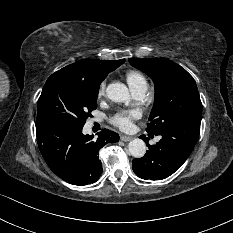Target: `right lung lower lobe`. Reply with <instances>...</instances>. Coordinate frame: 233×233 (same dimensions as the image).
Instances as JSON below:
<instances>
[{"instance_id":"obj_1","label":"right lung lower lobe","mask_w":233,"mask_h":233,"mask_svg":"<svg viewBox=\"0 0 233 233\" xmlns=\"http://www.w3.org/2000/svg\"><path fill=\"white\" fill-rule=\"evenodd\" d=\"M82 129L68 124H36L38 146L50 169L66 182L80 186L101 177L98 152L105 144L119 141V135L108 129L99 132L97 139L83 135Z\"/></svg>"}]
</instances>
